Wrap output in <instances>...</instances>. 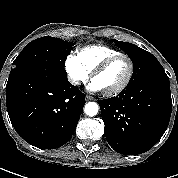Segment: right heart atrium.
I'll use <instances>...</instances> for the list:
<instances>
[{
    "mask_svg": "<svg viewBox=\"0 0 178 178\" xmlns=\"http://www.w3.org/2000/svg\"><path fill=\"white\" fill-rule=\"evenodd\" d=\"M65 71L69 82L74 86H80L90 78V72L82 64L78 55H69L66 58Z\"/></svg>",
    "mask_w": 178,
    "mask_h": 178,
    "instance_id": "obj_1",
    "label": "right heart atrium"
}]
</instances>
